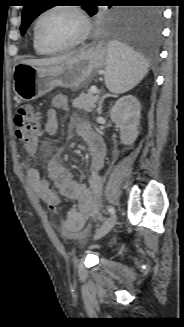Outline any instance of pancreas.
I'll return each mask as SVG.
<instances>
[{
	"mask_svg": "<svg viewBox=\"0 0 184 327\" xmlns=\"http://www.w3.org/2000/svg\"><path fill=\"white\" fill-rule=\"evenodd\" d=\"M98 97L99 96L95 95L90 89L87 93H81L77 98H75L72 101V105L79 110L92 112L96 107Z\"/></svg>",
	"mask_w": 184,
	"mask_h": 327,
	"instance_id": "cf45deb5",
	"label": "pancreas"
}]
</instances>
